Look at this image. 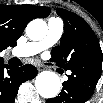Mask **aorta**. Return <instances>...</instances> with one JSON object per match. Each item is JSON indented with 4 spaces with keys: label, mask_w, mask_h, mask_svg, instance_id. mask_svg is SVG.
<instances>
[{
    "label": "aorta",
    "mask_w": 103,
    "mask_h": 103,
    "mask_svg": "<svg viewBox=\"0 0 103 103\" xmlns=\"http://www.w3.org/2000/svg\"><path fill=\"white\" fill-rule=\"evenodd\" d=\"M47 31V24L42 19H34L26 27L27 36L35 41L43 39ZM35 87L43 98H54L60 91L61 82L56 73L43 71L37 75Z\"/></svg>",
    "instance_id": "aorta-1"
}]
</instances>
